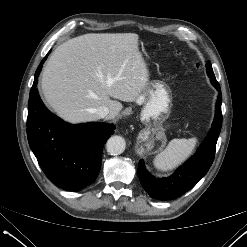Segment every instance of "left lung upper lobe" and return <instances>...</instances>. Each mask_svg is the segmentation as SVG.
<instances>
[{
	"label": "left lung upper lobe",
	"instance_id": "left-lung-upper-lobe-1",
	"mask_svg": "<svg viewBox=\"0 0 247 247\" xmlns=\"http://www.w3.org/2000/svg\"><path fill=\"white\" fill-rule=\"evenodd\" d=\"M206 71H207L208 76L210 77L211 82H217L215 75L213 73L211 63L209 61L206 64Z\"/></svg>",
	"mask_w": 247,
	"mask_h": 247
}]
</instances>
